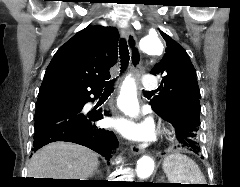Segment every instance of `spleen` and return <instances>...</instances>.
<instances>
[{
    "label": "spleen",
    "mask_w": 240,
    "mask_h": 187,
    "mask_svg": "<svg viewBox=\"0 0 240 187\" xmlns=\"http://www.w3.org/2000/svg\"><path fill=\"white\" fill-rule=\"evenodd\" d=\"M163 170L170 183L205 184L198 165L186 155L172 154L163 162Z\"/></svg>",
    "instance_id": "3e777b00"
}]
</instances>
